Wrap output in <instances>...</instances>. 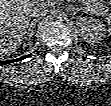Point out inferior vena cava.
Returning <instances> with one entry per match:
<instances>
[{"mask_svg": "<svg viewBox=\"0 0 111 106\" xmlns=\"http://www.w3.org/2000/svg\"><path fill=\"white\" fill-rule=\"evenodd\" d=\"M48 10L45 2H35L33 7L30 9V15L38 19L42 18L47 14Z\"/></svg>", "mask_w": 111, "mask_h": 106, "instance_id": "obj_1", "label": "inferior vena cava"}]
</instances>
